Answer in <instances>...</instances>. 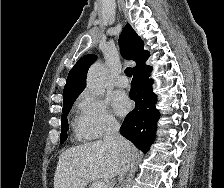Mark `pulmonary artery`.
Segmentation results:
<instances>
[{"label": "pulmonary artery", "mask_w": 224, "mask_h": 188, "mask_svg": "<svg viewBox=\"0 0 224 188\" xmlns=\"http://www.w3.org/2000/svg\"><path fill=\"white\" fill-rule=\"evenodd\" d=\"M115 84L118 87L125 88L128 87L129 80L125 75H121L115 80Z\"/></svg>", "instance_id": "1"}]
</instances>
